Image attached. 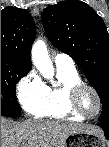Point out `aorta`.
I'll return each instance as SVG.
<instances>
[{"instance_id":"aorta-1","label":"aorta","mask_w":109,"mask_h":147,"mask_svg":"<svg viewBox=\"0 0 109 147\" xmlns=\"http://www.w3.org/2000/svg\"><path fill=\"white\" fill-rule=\"evenodd\" d=\"M31 58L34 66L46 79L54 75V67L48 54L47 46L43 40H36L32 46Z\"/></svg>"}]
</instances>
